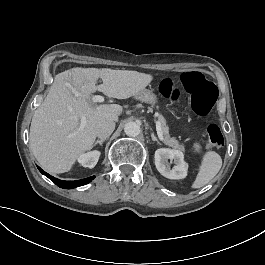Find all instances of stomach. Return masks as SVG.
<instances>
[{
    "mask_svg": "<svg viewBox=\"0 0 265 265\" xmlns=\"http://www.w3.org/2000/svg\"><path fill=\"white\" fill-rule=\"evenodd\" d=\"M135 98L141 102L147 103L155 109H160V100L158 96L149 89H143L135 95Z\"/></svg>",
    "mask_w": 265,
    "mask_h": 265,
    "instance_id": "obj_1",
    "label": "stomach"
}]
</instances>
